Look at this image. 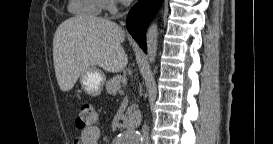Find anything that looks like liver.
Returning <instances> with one entry per match:
<instances>
[{
  "label": "liver",
  "mask_w": 273,
  "mask_h": 144,
  "mask_svg": "<svg viewBox=\"0 0 273 144\" xmlns=\"http://www.w3.org/2000/svg\"><path fill=\"white\" fill-rule=\"evenodd\" d=\"M124 30L115 22L78 15L62 22L53 38V62L60 89L70 91L90 67L122 71L128 58L121 43Z\"/></svg>",
  "instance_id": "1"
}]
</instances>
